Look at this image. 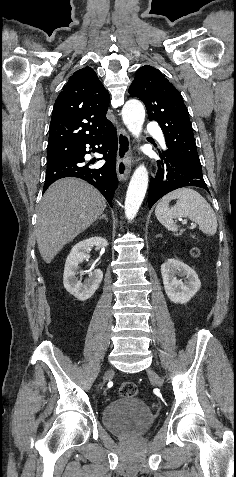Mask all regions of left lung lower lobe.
<instances>
[{
	"instance_id": "1",
	"label": "left lung lower lobe",
	"mask_w": 236,
	"mask_h": 477,
	"mask_svg": "<svg viewBox=\"0 0 236 477\" xmlns=\"http://www.w3.org/2000/svg\"><path fill=\"white\" fill-rule=\"evenodd\" d=\"M159 155L157 174L150 181L149 209L165 194L181 187L196 186L209 191L202 170L194 163L163 152Z\"/></svg>"
}]
</instances>
